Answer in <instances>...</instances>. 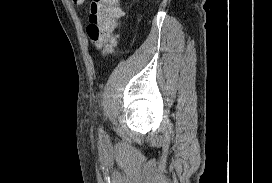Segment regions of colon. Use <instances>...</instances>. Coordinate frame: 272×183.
<instances>
[{"instance_id":"5ec220e1","label":"colon","mask_w":272,"mask_h":183,"mask_svg":"<svg viewBox=\"0 0 272 183\" xmlns=\"http://www.w3.org/2000/svg\"><path fill=\"white\" fill-rule=\"evenodd\" d=\"M83 0H74L80 4ZM122 16L120 0H92L89 7L87 33L93 44L104 54L116 43V30Z\"/></svg>"}]
</instances>
